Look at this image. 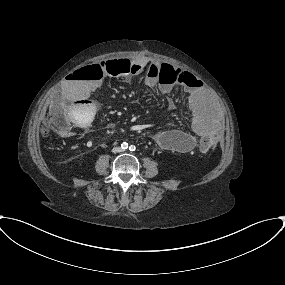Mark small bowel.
<instances>
[{
	"mask_svg": "<svg viewBox=\"0 0 285 285\" xmlns=\"http://www.w3.org/2000/svg\"><path fill=\"white\" fill-rule=\"evenodd\" d=\"M138 67V72L147 69L150 70L158 66V62L140 59L133 62ZM96 80L80 81L69 74L61 88V95L64 100L72 102V108L78 115L84 119L88 118L91 112L92 104L90 96L99 87ZM194 74L183 72V85L186 94L187 109L190 114V131L182 129H168L158 131L153 134L154 142L163 149L187 152L194 147H199L201 139L207 134L217 135L219 133L218 122L210 117L204 102L203 90L197 84ZM148 87L159 86L164 93L173 91L169 85H159L155 76H148L145 79ZM71 108V109H72ZM74 122L78 124V119L74 117ZM70 133H63L62 137H68Z\"/></svg>",
	"mask_w": 285,
	"mask_h": 285,
	"instance_id": "1",
	"label": "small bowel"
}]
</instances>
